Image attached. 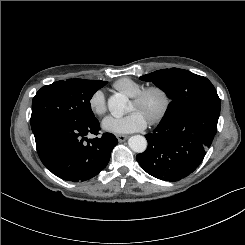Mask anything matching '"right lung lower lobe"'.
<instances>
[{
    "label": "right lung lower lobe",
    "mask_w": 245,
    "mask_h": 245,
    "mask_svg": "<svg viewBox=\"0 0 245 245\" xmlns=\"http://www.w3.org/2000/svg\"><path fill=\"white\" fill-rule=\"evenodd\" d=\"M99 121L69 125L47 121L33 131L42 163L61 179L78 182L91 179L103 170L110 160L112 149L118 144L111 133L101 138L83 141L89 133L98 134Z\"/></svg>",
    "instance_id": "1"
}]
</instances>
